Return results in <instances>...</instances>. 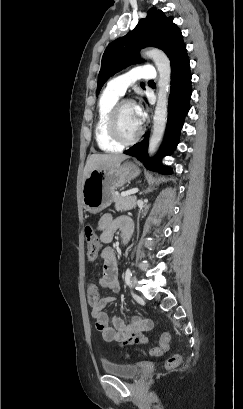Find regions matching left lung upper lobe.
<instances>
[{"label": "left lung upper lobe", "mask_w": 243, "mask_h": 409, "mask_svg": "<svg viewBox=\"0 0 243 409\" xmlns=\"http://www.w3.org/2000/svg\"><path fill=\"white\" fill-rule=\"evenodd\" d=\"M172 21L173 18L166 17L161 10L151 8L132 31L111 42L102 57L96 94L110 76L138 61L141 48L157 47L171 61L184 45L180 29ZM141 86L144 88L143 83Z\"/></svg>", "instance_id": "1"}]
</instances>
